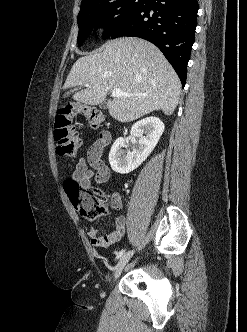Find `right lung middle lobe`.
<instances>
[{"mask_svg":"<svg viewBox=\"0 0 247 332\" xmlns=\"http://www.w3.org/2000/svg\"><path fill=\"white\" fill-rule=\"evenodd\" d=\"M146 0H101L80 10L77 22L79 26L78 45L81 46L93 27L106 25L104 38H108L113 29L123 20L139 10Z\"/></svg>","mask_w":247,"mask_h":332,"instance_id":"dd1d6c3e","label":"right lung middle lobe"}]
</instances>
